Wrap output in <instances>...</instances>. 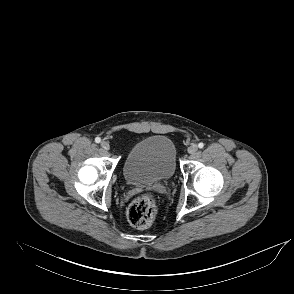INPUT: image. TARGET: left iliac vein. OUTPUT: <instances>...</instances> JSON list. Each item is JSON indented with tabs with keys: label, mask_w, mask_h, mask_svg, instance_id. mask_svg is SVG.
<instances>
[{
	"label": "left iliac vein",
	"mask_w": 294,
	"mask_h": 294,
	"mask_svg": "<svg viewBox=\"0 0 294 294\" xmlns=\"http://www.w3.org/2000/svg\"><path fill=\"white\" fill-rule=\"evenodd\" d=\"M198 150V146L196 144H192L189 148H188V153L190 154H194L196 153Z\"/></svg>",
	"instance_id": "1"
}]
</instances>
